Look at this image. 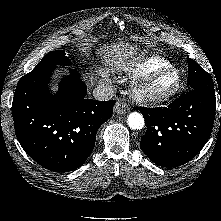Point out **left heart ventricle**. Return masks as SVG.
Returning <instances> with one entry per match:
<instances>
[{
	"label": "left heart ventricle",
	"instance_id": "left-heart-ventricle-1",
	"mask_svg": "<svg viewBox=\"0 0 221 221\" xmlns=\"http://www.w3.org/2000/svg\"><path fill=\"white\" fill-rule=\"evenodd\" d=\"M176 76L174 74H165L160 76L152 85L154 90L164 91L174 86Z\"/></svg>",
	"mask_w": 221,
	"mask_h": 221
}]
</instances>
